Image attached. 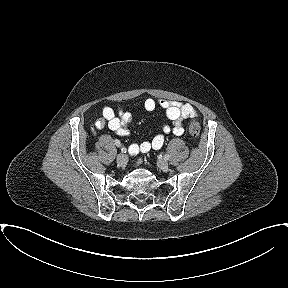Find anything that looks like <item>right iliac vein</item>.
Wrapping results in <instances>:
<instances>
[{"label":"right iliac vein","instance_id":"right-iliac-vein-1","mask_svg":"<svg viewBox=\"0 0 288 288\" xmlns=\"http://www.w3.org/2000/svg\"><path fill=\"white\" fill-rule=\"evenodd\" d=\"M116 160L119 166H125L128 163V157L125 154H118Z\"/></svg>","mask_w":288,"mask_h":288}]
</instances>
